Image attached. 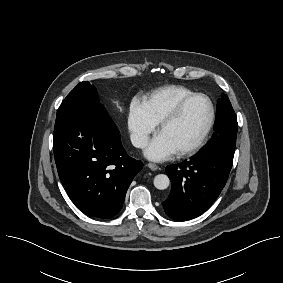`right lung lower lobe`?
Masks as SVG:
<instances>
[{
    "mask_svg": "<svg viewBox=\"0 0 283 283\" xmlns=\"http://www.w3.org/2000/svg\"><path fill=\"white\" fill-rule=\"evenodd\" d=\"M53 150L59 178L70 199L91 217L115 216L143 167L141 161L127 155L120 133L102 105L56 118Z\"/></svg>",
    "mask_w": 283,
    "mask_h": 283,
    "instance_id": "right-lung-lower-lobe-1",
    "label": "right lung lower lobe"
}]
</instances>
